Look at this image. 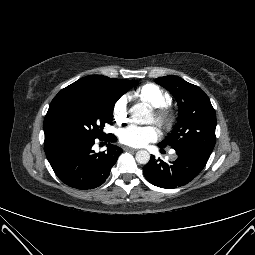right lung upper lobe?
I'll return each mask as SVG.
<instances>
[{
  "label": "right lung upper lobe",
  "mask_w": 255,
  "mask_h": 255,
  "mask_svg": "<svg viewBox=\"0 0 255 255\" xmlns=\"http://www.w3.org/2000/svg\"><path fill=\"white\" fill-rule=\"evenodd\" d=\"M120 79L101 75H89L62 89L52 100L44 119L45 142L57 138L53 132V118L60 106L68 99L83 93L102 92L114 87Z\"/></svg>",
  "instance_id": "right-lung-upper-lobe-1"
}]
</instances>
